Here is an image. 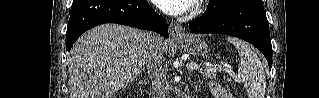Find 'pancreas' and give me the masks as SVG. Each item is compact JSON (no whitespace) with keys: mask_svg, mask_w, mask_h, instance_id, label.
Listing matches in <instances>:
<instances>
[{"mask_svg":"<svg viewBox=\"0 0 319 98\" xmlns=\"http://www.w3.org/2000/svg\"><path fill=\"white\" fill-rule=\"evenodd\" d=\"M199 72L203 74V76H205L206 78L215 79L217 70H215L212 67H207L205 69L203 68L199 69Z\"/></svg>","mask_w":319,"mask_h":98,"instance_id":"pancreas-1","label":"pancreas"}]
</instances>
